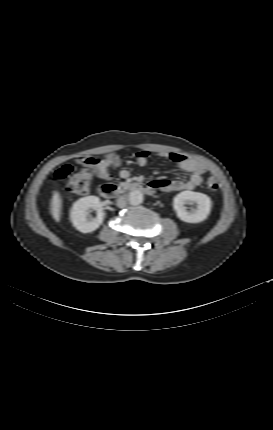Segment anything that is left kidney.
Masks as SVG:
<instances>
[{
  "instance_id": "obj_1",
  "label": "left kidney",
  "mask_w": 273,
  "mask_h": 430,
  "mask_svg": "<svg viewBox=\"0 0 273 430\" xmlns=\"http://www.w3.org/2000/svg\"><path fill=\"white\" fill-rule=\"evenodd\" d=\"M186 205H194L189 208ZM212 201L209 196L200 192L183 191L175 196L173 207L177 217L187 223H199L210 214Z\"/></svg>"
}]
</instances>
